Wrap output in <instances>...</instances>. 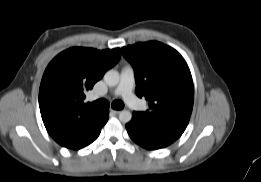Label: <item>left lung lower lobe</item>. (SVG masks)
Returning <instances> with one entry per match:
<instances>
[{
  "instance_id": "0a47b994",
  "label": "left lung lower lobe",
  "mask_w": 261,
  "mask_h": 182,
  "mask_svg": "<svg viewBox=\"0 0 261 182\" xmlns=\"http://www.w3.org/2000/svg\"><path fill=\"white\" fill-rule=\"evenodd\" d=\"M126 129L134 142L149 150L164 148L181 136L172 130L146 126L134 114Z\"/></svg>"
}]
</instances>
